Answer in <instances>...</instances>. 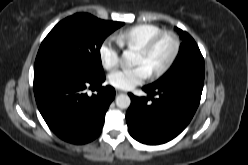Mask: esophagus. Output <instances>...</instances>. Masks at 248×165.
Segmentation results:
<instances>
[{
    "label": "esophagus",
    "instance_id": "1",
    "mask_svg": "<svg viewBox=\"0 0 248 165\" xmlns=\"http://www.w3.org/2000/svg\"><path fill=\"white\" fill-rule=\"evenodd\" d=\"M124 93V91L120 90V89H116V94H121Z\"/></svg>",
    "mask_w": 248,
    "mask_h": 165
}]
</instances>
